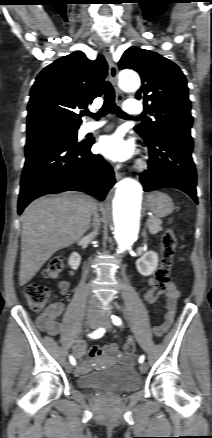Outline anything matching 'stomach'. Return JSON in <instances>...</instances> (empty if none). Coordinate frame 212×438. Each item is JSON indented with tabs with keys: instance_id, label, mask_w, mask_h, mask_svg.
Returning a JSON list of instances; mask_svg holds the SVG:
<instances>
[{
	"instance_id": "0dacf381",
	"label": "stomach",
	"mask_w": 212,
	"mask_h": 438,
	"mask_svg": "<svg viewBox=\"0 0 212 438\" xmlns=\"http://www.w3.org/2000/svg\"><path fill=\"white\" fill-rule=\"evenodd\" d=\"M146 205L157 217L168 216L174 210L172 199L167 194L158 191L146 196Z\"/></svg>"
}]
</instances>
